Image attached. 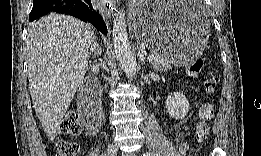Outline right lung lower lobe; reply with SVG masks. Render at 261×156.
Instances as JSON below:
<instances>
[{
	"instance_id": "right-lung-lower-lobe-1",
	"label": "right lung lower lobe",
	"mask_w": 261,
	"mask_h": 156,
	"mask_svg": "<svg viewBox=\"0 0 261 156\" xmlns=\"http://www.w3.org/2000/svg\"><path fill=\"white\" fill-rule=\"evenodd\" d=\"M64 13L83 21H89L99 31L107 35L106 25L91 0H34L30 21L52 13Z\"/></svg>"
}]
</instances>
